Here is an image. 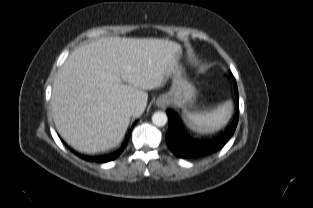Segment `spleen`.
I'll use <instances>...</instances> for the list:
<instances>
[{"label": "spleen", "instance_id": "obj_1", "mask_svg": "<svg viewBox=\"0 0 313 208\" xmlns=\"http://www.w3.org/2000/svg\"><path fill=\"white\" fill-rule=\"evenodd\" d=\"M232 111L233 104L231 101H227L216 110L190 114L184 120L190 128L197 132L212 133L220 130L227 124Z\"/></svg>", "mask_w": 313, "mask_h": 208}]
</instances>
